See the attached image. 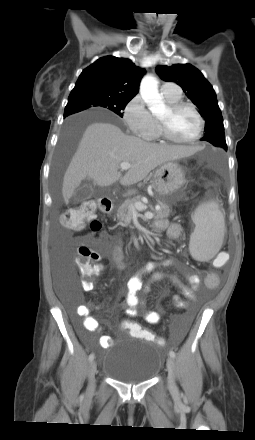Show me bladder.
<instances>
[{"instance_id":"bladder-1","label":"bladder","mask_w":255,"mask_h":440,"mask_svg":"<svg viewBox=\"0 0 255 440\" xmlns=\"http://www.w3.org/2000/svg\"><path fill=\"white\" fill-rule=\"evenodd\" d=\"M123 344L113 346L103 366L108 377L126 384H138L152 380L162 363L160 347L150 341L140 339L136 345Z\"/></svg>"}]
</instances>
